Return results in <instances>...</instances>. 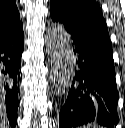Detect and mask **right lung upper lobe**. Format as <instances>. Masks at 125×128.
I'll return each instance as SVG.
<instances>
[{
	"mask_svg": "<svg viewBox=\"0 0 125 128\" xmlns=\"http://www.w3.org/2000/svg\"><path fill=\"white\" fill-rule=\"evenodd\" d=\"M22 25L15 0H0V36Z\"/></svg>",
	"mask_w": 125,
	"mask_h": 128,
	"instance_id": "right-lung-upper-lobe-1",
	"label": "right lung upper lobe"
}]
</instances>
